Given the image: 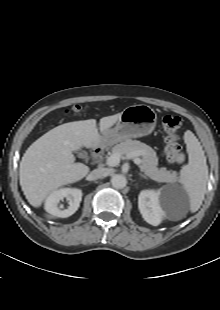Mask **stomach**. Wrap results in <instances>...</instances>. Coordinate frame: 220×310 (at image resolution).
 I'll list each match as a JSON object with an SVG mask.
<instances>
[{
	"instance_id": "0dacf381",
	"label": "stomach",
	"mask_w": 220,
	"mask_h": 310,
	"mask_svg": "<svg viewBox=\"0 0 220 310\" xmlns=\"http://www.w3.org/2000/svg\"><path fill=\"white\" fill-rule=\"evenodd\" d=\"M157 114L148 105H132L120 114L115 127L102 134L104 144H114L127 138H138L151 134L155 129Z\"/></svg>"
}]
</instances>
